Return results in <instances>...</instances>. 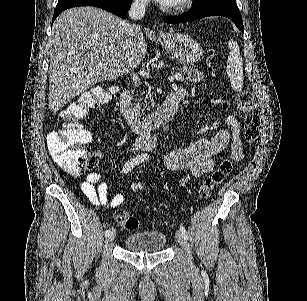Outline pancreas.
I'll return each instance as SVG.
<instances>
[{
	"instance_id": "cf45deb5",
	"label": "pancreas",
	"mask_w": 307,
	"mask_h": 301,
	"mask_svg": "<svg viewBox=\"0 0 307 301\" xmlns=\"http://www.w3.org/2000/svg\"><path fill=\"white\" fill-rule=\"evenodd\" d=\"M177 72L181 74V78H178V80H190V82H200V80H204V72H200L197 68L182 66V68H177ZM140 94H145V92H140ZM135 100H137L135 104L136 108H141V106H147L148 104L147 96H145V98L136 96ZM151 104L153 106L154 102H151Z\"/></svg>"
}]
</instances>
